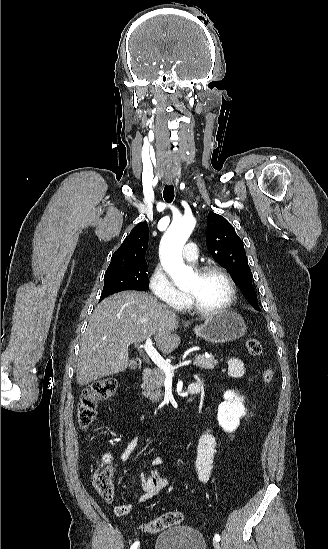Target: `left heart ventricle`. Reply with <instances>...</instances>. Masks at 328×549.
Masks as SVG:
<instances>
[{"instance_id":"left-heart-ventricle-1","label":"left heart ventricle","mask_w":328,"mask_h":549,"mask_svg":"<svg viewBox=\"0 0 328 549\" xmlns=\"http://www.w3.org/2000/svg\"><path fill=\"white\" fill-rule=\"evenodd\" d=\"M183 289L190 292L206 309L221 306L230 294L226 278L218 271H210L202 276L192 272Z\"/></svg>"}]
</instances>
